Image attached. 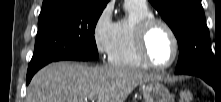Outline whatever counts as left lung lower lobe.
I'll return each mask as SVG.
<instances>
[{
  "instance_id": "left-lung-lower-lobe-1",
  "label": "left lung lower lobe",
  "mask_w": 221,
  "mask_h": 102,
  "mask_svg": "<svg viewBox=\"0 0 221 102\" xmlns=\"http://www.w3.org/2000/svg\"><path fill=\"white\" fill-rule=\"evenodd\" d=\"M179 74H188V75H195V76L201 77L205 82L212 85L213 87H214V83L216 82V78H214L211 75L203 74L201 72L193 71V72H185V73H179Z\"/></svg>"
}]
</instances>
